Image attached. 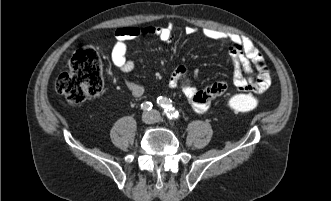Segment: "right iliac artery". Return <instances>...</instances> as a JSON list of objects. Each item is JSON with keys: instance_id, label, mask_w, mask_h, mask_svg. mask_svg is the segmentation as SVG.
Masks as SVG:
<instances>
[{"instance_id": "right-iliac-artery-1", "label": "right iliac artery", "mask_w": 331, "mask_h": 201, "mask_svg": "<svg viewBox=\"0 0 331 201\" xmlns=\"http://www.w3.org/2000/svg\"><path fill=\"white\" fill-rule=\"evenodd\" d=\"M141 108L144 110V111H149L152 109V103L151 102H144L141 104Z\"/></svg>"}]
</instances>
